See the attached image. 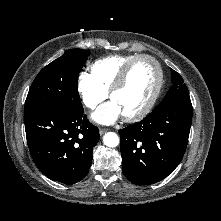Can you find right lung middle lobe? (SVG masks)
<instances>
[{
    "instance_id": "1",
    "label": "right lung middle lobe",
    "mask_w": 221,
    "mask_h": 221,
    "mask_svg": "<svg viewBox=\"0 0 221 221\" xmlns=\"http://www.w3.org/2000/svg\"><path fill=\"white\" fill-rule=\"evenodd\" d=\"M88 56L83 49H71L44 67L30 87L24 114L49 106L83 109L77 82Z\"/></svg>"
}]
</instances>
